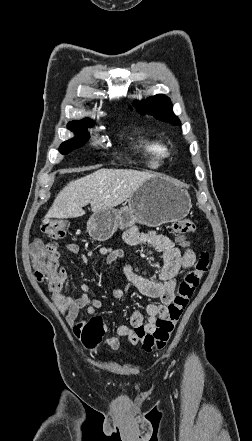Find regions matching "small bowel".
Instances as JSON below:
<instances>
[{
	"mask_svg": "<svg viewBox=\"0 0 252 441\" xmlns=\"http://www.w3.org/2000/svg\"><path fill=\"white\" fill-rule=\"evenodd\" d=\"M124 239L130 245H151L161 251L164 257L162 267L155 279L137 275L130 265H125L123 272L128 284L124 288H117L113 291L115 299L123 298L130 289H137L141 294L160 301L158 304L147 305L146 316L140 310H134L129 319L130 326L120 325L117 328L119 335L127 337L131 344L137 345L140 342L135 334L136 328L143 327L147 332L154 330L156 319L166 315L167 307L175 296L178 276L194 265L196 254L192 248L181 251L171 238L155 230L138 231L132 228L125 232ZM66 249L72 254L79 255L84 263L89 262L94 254L104 257L107 265L123 257L122 251L108 248H101L95 253H80L79 246L74 243L66 244ZM55 258L56 260L59 258L58 252H56ZM58 274L57 281L47 282L51 299L60 313L65 314V321L74 335L80 338L86 324L85 321L77 319L80 312L84 311L85 316L92 317L96 310L102 307V303L91 298L90 287L87 284L80 286L81 293L78 296L70 295L68 293L69 277L66 270L61 267L58 269ZM105 342L112 350H117L120 347V342L115 337L107 338Z\"/></svg>",
	"mask_w": 252,
	"mask_h": 441,
	"instance_id": "obj_1",
	"label": "small bowel"
}]
</instances>
